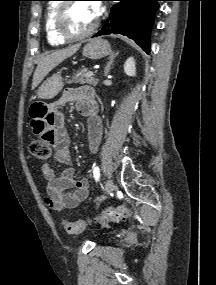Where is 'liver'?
I'll list each match as a JSON object with an SVG mask.
<instances>
[{
    "mask_svg": "<svg viewBox=\"0 0 216 285\" xmlns=\"http://www.w3.org/2000/svg\"><path fill=\"white\" fill-rule=\"evenodd\" d=\"M80 46V44H76L41 57L33 76L32 89H35L44 77L59 63L75 54L79 50Z\"/></svg>",
    "mask_w": 216,
    "mask_h": 285,
    "instance_id": "1",
    "label": "liver"
}]
</instances>
